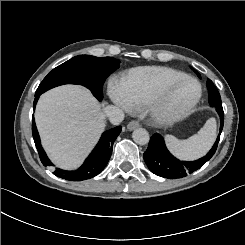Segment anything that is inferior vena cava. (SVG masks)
Masks as SVG:
<instances>
[{
    "instance_id": "1",
    "label": "inferior vena cava",
    "mask_w": 245,
    "mask_h": 245,
    "mask_svg": "<svg viewBox=\"0 0 245 245\" xmlns=\"http://www.w3.org/2000/svg\"><path fill=\"white\" fill-rule=\"evenodd\" d=\"M103 117L109 118L113 124H119L124 118V112L116 105H109L104 108Z\"/></svg>"
}]
</instances>
